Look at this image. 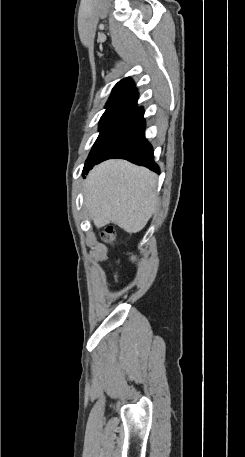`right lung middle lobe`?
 <instances>
[{"mask_svg":"<svg viewBox=\"0 0 245 457\" xmlns=\"http://www.w3.org/2000/svg\"><path fill=\"white\" fill-rule=\"evenodd\" d=\"M130 112H105L99 123L100 134L86 160L83 174L92 169L104 149L119 131Z\"/></svg>","mask_w":245,"mask_h":457,"instance_id":"right-lung-middle-lobe-1","label":"right lung middle lobe"}]
</instances>
